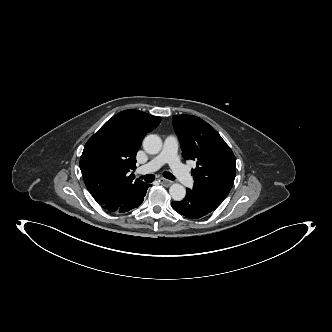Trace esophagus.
<instances>
[{"instance_id":"34e87169","label":"esophagus","mask_w":332,"mask_h":332,"mask_svg":"<svg viewBox=\"0 0 332 332\" xmlns=\"http://www.w3.org/2000/svg\"><path fill=\"white\" fill-rule=\"evenodd\" d=\"M159 182H160L162 185H164V186H170V185L172 184V181L167 180V179H165V178H160V179H159Z\"/></svg>"}]
</instances>
